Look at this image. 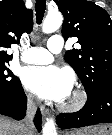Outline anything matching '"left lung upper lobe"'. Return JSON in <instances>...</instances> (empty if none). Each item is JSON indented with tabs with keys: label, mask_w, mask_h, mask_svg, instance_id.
Segmentation results:
<instances>
[{
	"label": "left lung upper lobe",
	"mask_w": 112,
	"mask_h": 135,
	"mask_svg": "<svg viewBox=\"0 0 112 135\" xmlns=\"http://www.w3.org/2000/svg\"><path fill=\"white\" fill-rule=\"evenodd\" d=\"M64 15L62 34L78 38L80 49L66 52L87 95L112 85V20L100 6L86 0H55Z\"/></svg>",
	"instance_id": "obj_1"
}]
</instances>
